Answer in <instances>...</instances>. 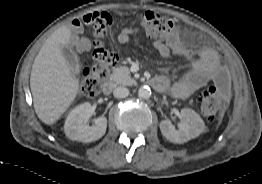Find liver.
<instances>
[{
  "label": "liver",
  "mask_w": 262,
  "mask_h": 184,
  "mask_svg": "<svg viewBox=\"0 0 262 184\" xmlns=\"http://www.w3.org/2000/svg\"><path fill=\"white\" fill-rule=\"evenodd\" d=\"M68 26L55 30L45 41L32 65L30 87L38 118L54 124L70 107L79 91V81L65 61L62 47L71 41Z\"/></svg>",
  "instance_id": "liver-1"
}]
</instances>
